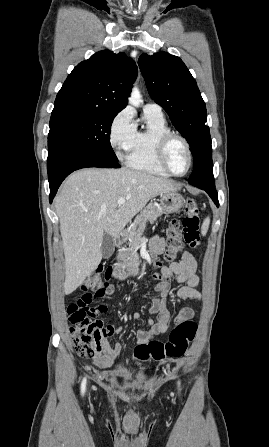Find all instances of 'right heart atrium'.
<instances>
[{
	"mask_svg": "<svg viewBox=\"0 0 269 447\" xmlns=\"http://www.w3.org/2000/svg\"><path fill=\"white\" fill-rule=\"evenodd\" d=\"M135 130L133 114L129 108L120 110L112 119L108 139L119 159H123L130 151Z\"/></svg>",
	"mask_w": 269,
	"mask_h": 447,
	"instance_id": "1",
	"label": "right heart atrium"
}]
</instances>
